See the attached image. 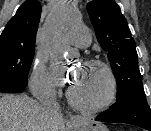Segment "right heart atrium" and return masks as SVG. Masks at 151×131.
<instances>
[{
  "instance_id": "obj_1",
  "label": "right heart atrium",
  "mask_w": 151,
  "mask_h": 131,
  "mask_svg": "<svg viewBox=\"0 0 151 131\" xmlns=\"http://www.w3.org/2000/svg\"><path fill=\"white\" fill-rule=\"evenodd\" d=\"M30 86L37 97L49 96L53 93L51 76L43 57L38 56L33 64Z\"/></svg>"
}]
</instances>
